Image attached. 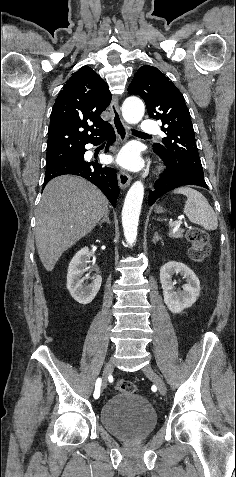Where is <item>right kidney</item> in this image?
Returning <instances> with one entry per match:
<instances>
[{"label": "right kidney", "instance_id": "ca27d5eb", "mask_svg": "<svg viewBox=\"0 0 236 477\" xmlns=\"http://www.w3.org/2000/svg\"><path fill=\"white\" fill-rule=\"evenodd\" d=\"M89 262V249L84 247L72 258L67 274L68 291L75 301L83 305L89 304L93 301L102 283V277L96 275L92 277L91 284L84 285L83 282L85 278L83 277V274L89 269L87 266Z\"/></svg>", "mask_w": 236, "mask_h": 477}]
</instances>
